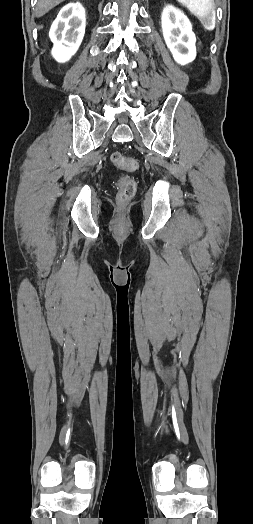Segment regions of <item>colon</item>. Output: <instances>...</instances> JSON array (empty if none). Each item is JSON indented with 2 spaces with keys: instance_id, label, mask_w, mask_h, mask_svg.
<instances>
[{
  "instance_id": "5ec220e1",
  "label": "colon",
  "mask_w": 253,
  "mask_h": 524,
  "mask_svg": "<svg viewBox=\"0 0 253 524\" xmlns=\"http://www.w3.org/2000/svg\"><path fill=\"white\" fill-rule=\"evenodd\" d=\"M111 162L115 166L122 168L124 170H127V171H134L138 167V163L135 159L124 157L119 152L112 153ZM118 187H119V192L117 196L118 201L120 203H125L134 196L137 185H136L135 180L132 179L131 177L123 176L118 183Z\"/></svg>"
}]
</instances>
